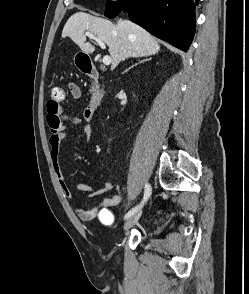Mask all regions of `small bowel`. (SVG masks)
<instances>
[{
    "label": "small bowel",
    "instance_id": "small-bowel-1",
    "mask_svg": "<svg viewBox=\"0 0 249 294\" xmlns=\"http://www.w3.org/2000/svg\"><path fill=\"white\" fill-rule=\"evenodd\" d=\"M70 97L73 101H76L81 96V90L79 86L74 82L67 84ZM85 123L78 117H69L63 113L62 107L58 104L57 106L47 104V123L51 131L49 137V153L56 179L62 192L69 199H75L73 190L63 174L61 167V154H62V142L68 136L67 133V121L73 124H82V133L87 140H90L92 136V125L89 122V118L84 111ZM76 190L87 193L88 198H94L108 193L112 189L110 182L102 183L101 185L94 187L85 182L79 181L75 184ZM123 202V196L115 194L102 199L100 202L94 204L89 208H75L77 217L84 222L92 221L97 219L99 223L105 227H109L114 223V215L110 211V208L118 207Z\"/></svg>",
    "mask_w": 249,
    "mask_h": 294
}]
</instances>
